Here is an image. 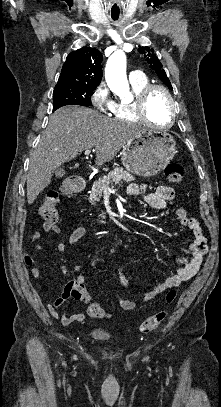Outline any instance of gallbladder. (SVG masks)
Masks as SVG:
<instances>
[{"label": "gallbladder", "instance_id": "1", "mask_svg": "<svg viewBox=\"0 0 221 407\" xmlns=\"http://www.w3.org/2000/svg\"><path fill=\"white\" fill-rule=\"evenodd\" d=\"M64 174H65V170L62 169V168H59V169H57V170L55 171V176H56V177H61V176H63Z\"/></svg>", "mask_w": 221, "mask_h": 407}]
</instances>
